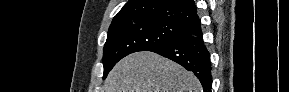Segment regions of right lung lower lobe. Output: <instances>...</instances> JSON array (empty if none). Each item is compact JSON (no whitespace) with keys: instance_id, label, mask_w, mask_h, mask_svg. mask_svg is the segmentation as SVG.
Listing matches in <instances>:
<instances>
[{"instance_id":"1","label":"right lung lower lobe","mask_w":289,"mask_h":92,"mask_svg":"<svg viewBox=\"0 0 289 92\" xmlns=\"http://www.w3.org/2000/svg\"><path fill=\"white\" fill-rule=\"evenodd\" d=\"M149 51L169 58L192 71L201 82L204 92H210L211 62L203 42L200 19L189 25L187 31L181 36Z\"/></svg>"}]
</instances>
